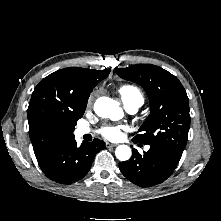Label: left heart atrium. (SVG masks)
I'll return each instance as SVG.
<instances>
[{"label":"left heart atrium","mask_w":221,"mask_h":221,"mask_svg":"<svg viewBox=\"0 0 221 221\" xmlns=\"http://www.w3.org/2000/svg\"><path fill=\"white\" fill-rule=\"evenodd\" d=\"M121 126H104L100 129V134L108 140H118L122 136Z\"/></svg>","instance_id":"1"}]
</instances>
